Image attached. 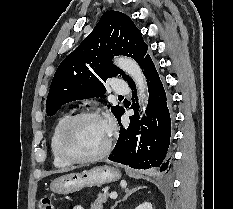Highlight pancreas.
<instances>
[{"label":"pancreas","mask_w":233,"mask_h":209,"mask_svg":"<svg viewBox=\"0 0 233 209\" xmlns=\"http://www.w3.org/2000/svg\"><path fill=\"white\" fill-rule=\"evenodd\" d=\"M108 194H99L94 201V203L91 204V209H102V204L107 201Z\"/></svg>","instance_id":"1"}]
</instances>
